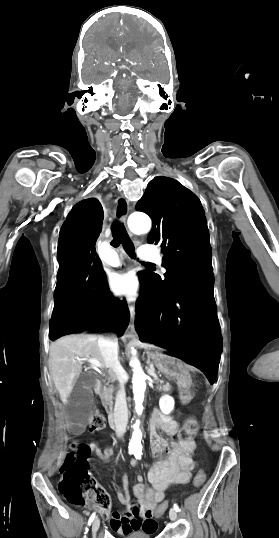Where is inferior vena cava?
Returning <instances> with one entry per match:
<instances>
[{"mask_svg":"<svg viewBox=\"0 0 279 538\" xmlns=\"http://www.w3.org/2000/svg\"><path fill=\"white\" fill-rule=\"evenodd\" d=\"M98 346L100 347V351L103 356H105V366L108 368L110 367L114 372L122 371L125 373L124 369L121 367V365L118 362L117 357V346H118V338H116V335H101L98 340ZM109 372H111L109 370ZM119 382L121 383V392L117 394L116 398V404H115V413H114V422L116 426V432L118 436H121L124 432H126V424L128 422V414H127V405L125 400V393H124V382L125 380H120L119 376L117 375V378Z\"/></svg>","mask_w":279,"mask_h":538,"instance_id":"inferior-vena-cava-1","label":"inferior vena cava"}]
</instances>
